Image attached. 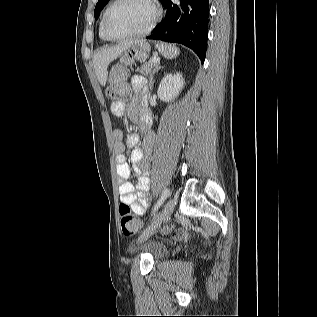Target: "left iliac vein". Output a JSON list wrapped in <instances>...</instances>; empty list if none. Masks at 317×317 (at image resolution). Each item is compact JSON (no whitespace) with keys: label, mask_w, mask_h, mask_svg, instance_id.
I'll use <instances>...</instances> for the list:
<instances>
[{"label":"left iliac vein","mask_w":317,"mask_h":317,"mask_svg":"<svg viewBox=\"0 0 317 317\" xmlns=\"http://www.w3.org/2000/svg\"><path fill=\"white\" fill-rule=\"evenodd\" d=\"M176 200L171 198L164 206L160 214L156 217V219L152 222V224L144 230V232L140 236V241L147 240L152 234L156 231V229L165 222L170 215L173 213L175 208Z\"/></svg>","instance_id":"obj_1"}]
</instances>
